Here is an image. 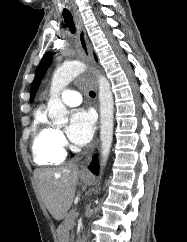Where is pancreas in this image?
<instances>
[{"instance_id": "1", "label": "pancreas", "mask_w": 187, "mask_h": 242, "mask_svg": "<svg viewBox=\"0 0 187 242\" xmlns=\"http://www.w3.org/2000/svg\"><path fill=\"white\" fill-rule=\"evenodd\" d=\"M77 212L75 211V209H72L69 214L67 215L65 221H64V225L67 228H72L75 224V219L77 217Z\"/></svg>"}]
</instances>
